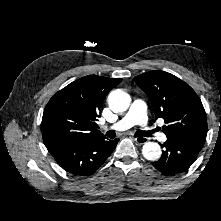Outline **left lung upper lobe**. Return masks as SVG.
Masks as SVG:
<instances>
[{"mask_svg": "<svg viewBox=\"0 0 221 221\" xmlns=\"http://www.w3.org/2000/svg\"><path fill=\"white\" fill-rule=\"evenodd\" d=\"M148 95L157 118H163L167 138L207 133V118L194 90L178 77L164 71H150L134 78Z\"/></svg>", "mask_w": 221, "mask_h": 221, "instance_id": "5c2ea615", "label": "left lung upper lobe"}]
</instances>
